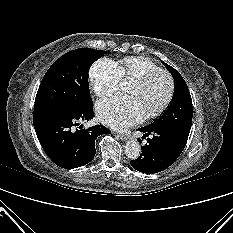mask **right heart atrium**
I'll list each match as a JSON object with an SVG mask.
<instances>
[{
  "label": "right heart atrium",
  "instance_id": "obj_1",
  "mask_svg": "<svg viewBox=\"0 0 233 233\" xmlns=\"http://www.w3.org/2000/svg\"><path fill=\"white\" fill-rule=\"evenodd\" d=\"M89 79L95 94L98 97H106L118 90L121 76L115 62L101 58L91 66Z\"/></svg>",
  "mask_w": 233,
  "mask_h": 233
}]
</instances>
